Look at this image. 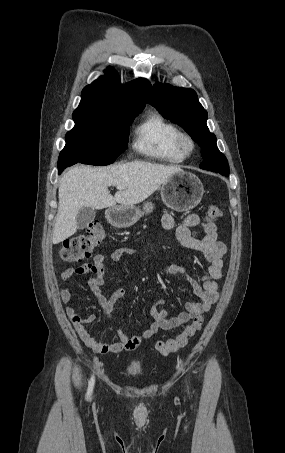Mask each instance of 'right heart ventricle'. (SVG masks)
Listing matches in <instances>:
<instances>
[{
	"mask_svg": "<svg viewBox=\"0 0 285 453\" xmlns=\"http://www.w3.org/2000/svg\"><path fill=\"white\" fill-rule=\"evenodd\" d=\"M179 129L160 113L152 111L135 129L133 148L142 155L169 163L185 158L177 147Z\"/></svg>",
	"mask_w": 285,
	"mask_h": 453,
	"instance_id": "obj_1",
	"label": "right heart ventricle"
}]
</instances>
